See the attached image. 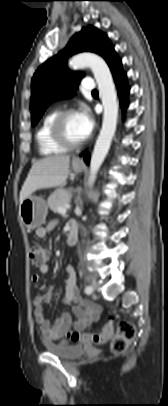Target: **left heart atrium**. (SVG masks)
<instances>
[{"instance_id": "obj_1", "label": "left heart atrium", "mask_w": 168, "mask_h": 406, "mask_svg": "<svg viewBox=\"0 0 168 406\" xmlns=\"http://www.w3.org/2000/svg\"><path fill=\"white\" fill-rule=\"evenodd\" d=\"M77 116L84 136L87 138L91 134L94 127L93 118L87 109H81L77 113Z\"/></svg>"}]
</instances>
